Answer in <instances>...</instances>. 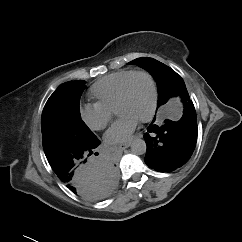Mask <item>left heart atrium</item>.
I'll return each instance as SVG.
<instances>
[{"instance_id":"39dd6f15","label":"left heart atrium","mask_w":242,"mask_h":242,"mask_svg":"<svg viewBox=\"0 0 242 242\" xmlns=\"http://www.w3.org/2000/svg\"><path fill=\"white\" fill-rule=\"evenodd\" d=\"M139 120L131 115H122L113 123L105 134V140L109 144H117L128 141L136 129Z\"/></svg>"}]
</instances>
